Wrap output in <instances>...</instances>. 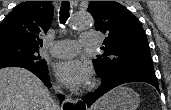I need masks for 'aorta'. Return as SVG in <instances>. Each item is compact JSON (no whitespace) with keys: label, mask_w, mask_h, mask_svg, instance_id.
<instances>
[{"label":"aorta","mask_w":171,"mask_h":110,"mask_svg":"<svg viewBox=\"0 0 171 110\" xmlns=\"http://www.w3.org/2000/svg\"><path fill=\"white\" fill-rule=\"evenodd\" d=\"M93 18L88 13H75L70 21L73 30L87 29L93 25Z\"/></svg>","instance_id":"aorta-1"}]
</instances>
